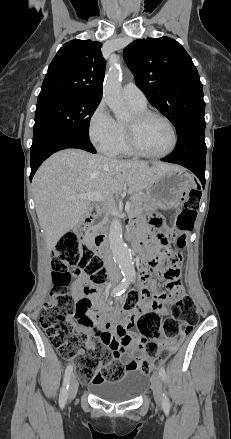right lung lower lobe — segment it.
I'll return each instance as SVG.
<instances>
[{"instance_id": "obj_1", "label": "right lung lower lobe", "mask_w": 231, "mask_h": 439, "mask_svg": "<svg viewBox=\"0 0 231 439\" xmlns=\"http://www.w3.org/2000/svg\"><path fill=\"white\" fill-rule=\"evenodd\" d=\"M67 148L83 149L91 153H96L90 139L78 134L62 131L54 133L40 143L31 147V174L32 180L38 167L53 153Z\"/></svg>"}]
</instances>
